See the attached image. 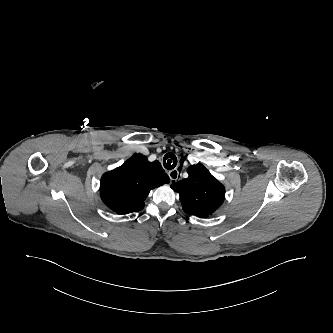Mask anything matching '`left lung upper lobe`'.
<instances>
[{"mask_svg": "<svg viewBox=\"0 0 333 333\" xmlns=\"http://www.w3.org/2000/svg\"><path fill=\"white\" fill-rule=\"evenodd\" d=\"M188 178L171 185L178 192L182 209L189 215L207 217L223 203L225 188L202 165L188 167Z\"/></svg>", "mask_w": 333, "mask_h": 333, "instance_id": "1", "label": "left lung upper lobe"}]
</instances>
